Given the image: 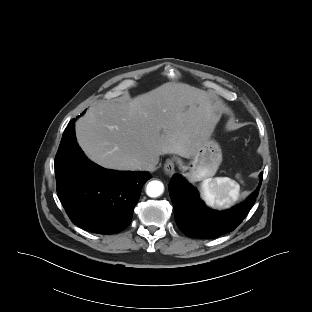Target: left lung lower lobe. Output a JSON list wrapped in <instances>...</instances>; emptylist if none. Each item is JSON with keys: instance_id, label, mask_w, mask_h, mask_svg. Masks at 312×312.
<instances>
[{"instance_id": "1", "label": "left lung lower lobe", "mask_w": 312, "mask_h": 312, "mask_svg": "<svg viewBox=\"0 0 312 312\" xmlns=\"http://www.w3.org/2000/svg\"><path fill=\"white\" fill-rule=\"evenodd\" d=\"M263 178L257 189L242 203L225 211L207 208L197 190L181 175L174 174L169 193L174 206L178 228L188 237L216 238L234 230L247 216L255 203Z\"/></svg>"}]
</instances>
